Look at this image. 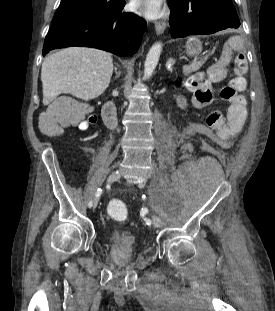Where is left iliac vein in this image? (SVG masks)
I'll use <instances>...</instances> for the list:
<instances>
[{"instance_id": "obj_1", "label": "left iliac vein", "mask_w": 275, "mask_h": 311, "mask_svg": "<svg viewBox=\"0 0 275 311\" xmlns=\"http://www.w3.org/2000/svg\"><path fill=\"white\" fill-rule=\"evenodd\" d=\"M152 223L157 228L161 226V220L157 215H152Z\"/></svg>"}]
</instances>
